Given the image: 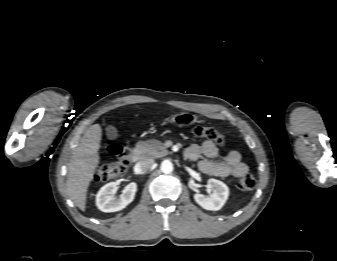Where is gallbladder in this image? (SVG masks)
Instances as JSON below:
<instances>
[{"instance_id":"1","label":"gallbladder","mask_w":337,"mask_h":261,"mask_svg":"<svg viewBox=\"0 0 337 261\" xmlns=\"http://www.w3.org/2000/svg\"><path fill=\"white\" fill-rule=\"evenodd\" d=\"M106 136L109 140H114L118 137V131L117 129L112 126V125H108L106 127Z\"/></svg>"}]
</instances>
